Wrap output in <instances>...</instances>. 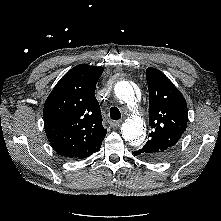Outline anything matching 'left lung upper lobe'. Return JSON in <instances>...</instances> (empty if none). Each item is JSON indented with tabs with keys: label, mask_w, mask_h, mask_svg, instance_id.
<instances>
[{
	"label": "left lung upper lobe",
	"mask_w": 221,
	"mask_h": 221,
	"mask_svg": "<svg viewBox=\"0 0 221 221\" xmlns=\"http://www.w3.org/2000/svg\"><path fill=\"white\" fill-rule=\"evenodd\" d=\"M149 90V140L133 152L147 161H161L174 150L187 127V104L175 85L158 69L147 68Z\"/></svg>",
	"instance_id": "left-lung-upper-lobe-1"
}]
</instances>
